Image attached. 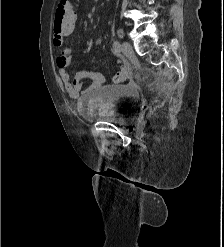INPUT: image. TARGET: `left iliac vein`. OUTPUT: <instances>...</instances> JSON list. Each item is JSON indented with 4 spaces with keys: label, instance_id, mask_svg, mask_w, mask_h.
I'll list each match as a JSON object with an SVG mask.
<instances>
[{
    "label": "left iliac vein",
    "instance_id": "4c4485c4",
    "mask_svg": "<svg viewBox=\"0 0 224 247\" xmlns=\"http://www.w3.org/2000/svg\"><path fill=\"white\" fill-rule=\"evenodd\" d=\"M121 51L126 55L127 57H132L134 55V51L130 43L127 41H123L121 45Z\"/></svg>",
    "mask_w": 224,
    "mask_h": 247
}]
</instances>
